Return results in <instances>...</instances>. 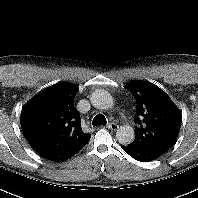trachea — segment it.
<instances>
[{"label": "trachea", "mask_w": 198, "mask_h": 198, "mask_svg": "<svg viewBox=\"0 0 198 198\" xmlns=\"http://www.w3.org/2000/svg\"><path fill=\"white\" fill-rule=\"evenodd\" d=\"M107 123L106 118L102 114H98L94 117L92 124L93 126L103 125L105 126Z\"/></svg>", "instance_id": "3493384b"}]
</instances>
